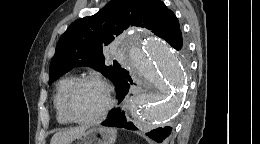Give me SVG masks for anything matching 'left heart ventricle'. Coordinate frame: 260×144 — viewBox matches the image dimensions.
Masks as SVG:
<instances>
[{
	"mask_svg": "<svg viewBox=\"0 0 260 144\" xmlns=\"http://www.w3.org/2000/svg\"><path fill=\"white\" fill-rule=\"evenodd\" d=\"M105 97L102 89L93 83L81 85L75 92L71 103V111L81 119L95 117L104 107Z\"/></svg>",
	"mask_w": 260,
	"mask_h": 144,
	"instance_id": "b2bd125f",
	"label": "left heart ventricle"
}]
</instances>
